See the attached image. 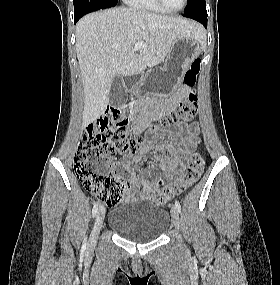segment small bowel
Segmentation results:
<instances>
[{
    "label": "small bowel",
    "instance_id": "1",
    "mask_svg": "<svg viewBox=\"0 0 280 285\" xmlns=\"http://www.w3.org/2000/svg\"><path fill=\"white\" fill-rule=\"evenodd\" d=\"M190 93L188 86H182L161 108L158 109L154 117L171 112L176 105L187 98ZM150 123L149 118H140L133 127V134L139 135L144 132ZM198 126L190 121L184 131L174 132L172 141L153 140L143 143L129 156L119 161V166L127 174L122 189V198L126 201L132 198L147 199L151 193L164 186L165 180L177 177L184 168L185 161L191 156L198 142ZM166 151L169 156L155 155L154 163H149L144 176L138 177L134 164L143 161L144 155L152 152ZM158 169L161 176L157 179H150L147 175L154 173Z\"/></svg>",
    "mask_w": 280,
    "mask_h": 285
}]
</instances>
